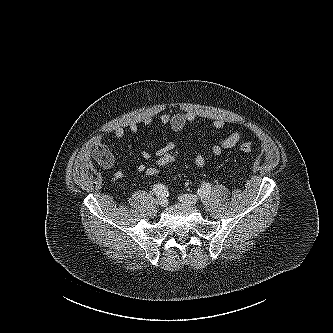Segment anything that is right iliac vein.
Masks as SVG:
<instances>
[{"label": "right iliac vein", "mask_w": 333, "mask_h": 333, "mask_svg": "<svg viewBox=\"0 0 333 333\" xmlns=\"http://www.w3.org/2000/svg\"><path fill=\"white\" fill-rule=\"evenodd\" d=\"M158 205L161 207H166L168 205V200L164 197H160L157 201Z\"/></svg>", "instance_id": "right-iliac-vein-1"}]
</instances>
